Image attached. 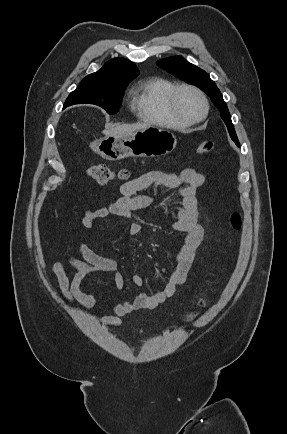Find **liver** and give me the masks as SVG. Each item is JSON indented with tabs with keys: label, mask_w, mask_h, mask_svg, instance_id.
Listing matches in <instances>:
<instances>
[{
	"label": "liver",
	"mask_w": 287,
	"mask_h": 434,
	"mask_svg": "<svg viewBox=\"0 0 287 434\" xmlns=\"http://www.w3.org/2000/svg\"><path fill=\"white\" fill-rule=\"evenodd\" d=\"M149 127V125L144 124V123H136V124H132V125H120L118 127L115 128H107L103 131V133L106 136L109 135H131L134 132Z\"/></svg>",
	"instance_id": "liver-1"
}]
</instances>
